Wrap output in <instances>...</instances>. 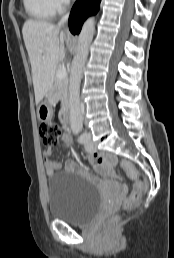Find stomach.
<instances>
[{
	"instance_id": "1",
	"label": "stomach",
	"mask_w": 174,
	"mask_h": 258,
	"mask_svg": "<svg viewBox=\"0 0 174 258\" xmlns=\"http://www.w3.org/2000/svg\"><path fill=\"white\" fill-rule=\"evenodd\" d=\"M51 90L45 95V99L40 103L37 108V115L40 121H49L53 115Z\"/></svg>"
}]
</instances>
